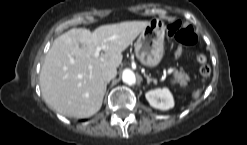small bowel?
Instances as JSON below:
<instances>
[{
  "instance_id": "obj_1",
  "label": "small bowel",
  "mask_w": 247,
  "mask_h": 145,
  "mask_svg": "<svg viewBox=\"0 0 247 145\" xmlns=\"http://www.w3.org/2000/svg\"><path fill=\"white\" fill-rule=\"evenodd\" d=\"M182 55V50H178L177 51V56H181Z\"/></svg>"
}]
</instances>
